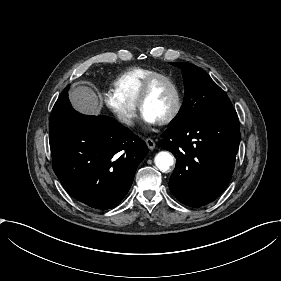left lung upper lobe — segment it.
Returning a JSON list of instances; mask_svg holds the SVG:
<instances>
[{
	"label": "left lung upper lobe",
	"mask_w": 281,
	"mask_h": 281,
	"mask_svg": "<svg viewBox=\"0 0 281 281\" xmlns=\"http://www.w3.org/2000/svg\"><path fill=\"white\" fill-rule=\"evenodd\" d=\"M170 64L182 71L185 95L179 113L168 127L234 110L226 93L205 71L190 63L170 62Z\"/></svg>",
	"instance_id": "left-lung-upper-lobe-1"
}]
</instances>
